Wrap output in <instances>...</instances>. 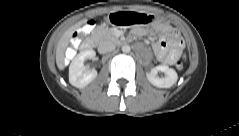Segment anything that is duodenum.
Masks as SVG:
<instances>
[{
	"label": "duodenum",
	"mask_w": 239,
	"mask_h": 136,
	"mask_svg": "<svg viewBox=\"0 0 239 136\" xmlns=\"http://www.w3.org/2000/svg\"><path fill=\"white\" fill-rule=\"evenodd\" d=\"M73 41H74V45H78V43H79V38H78V37H75V38L73 39ZM93 45H94L93 40L88 39L87 41H85V42L82 44V49H83V50H89V49H91V48L93 47Z\"/></svg>",
	"instance_id": "410a0bca"
}]
</instances>
